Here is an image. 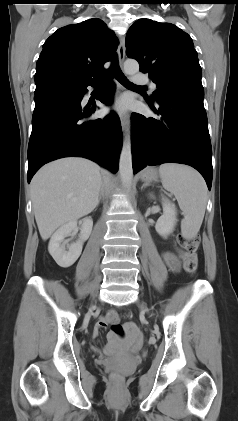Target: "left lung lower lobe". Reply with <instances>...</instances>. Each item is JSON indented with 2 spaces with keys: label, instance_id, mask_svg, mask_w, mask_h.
<instances>
[{
  "label": "left lung lower lobe",
  "instance_id": "left-lung-lower-lobe-1",
  "mask_svg": "<svg viewBox=\"0 0 238 421\" xmlns=\"http://www.w3.org/2000/svg\"><path fill=\"white\" fill-rule=\"evenodd\" d=\"M160 120L132 113V163L137 173L147 165L182 163L194 167L212 184V149L202 83L189 82L156 94Z\"/></svg>",
  "mask_w": 238,
  "mask_h": 421
}]
</instances>
